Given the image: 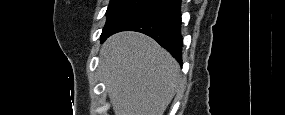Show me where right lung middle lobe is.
I'll use <instances>...</instances> for the list:
<instances>
[{"label": "right lung middle lobe", "instance_id": "right-lung-middle-lobe-1", "mask_svg": "<svg viewBox=\"0 0 285 115\" xmlns=\"http://www.w3.org/2000/svg\"><path fill=\"white\" fill-rule=\"evenodd\" d=\"M154 1L155 0H111L106 11L107 20L101 34V39H103L127 17Z\"/></svg>", "mask_w": 285, "mask_h": 115}]
</instances>
